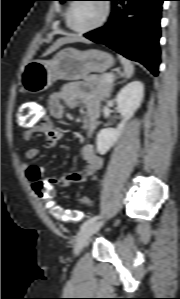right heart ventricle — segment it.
<instances>
[{
  "mask_svg": "<svg viewBox=\"0 0 180 299\" xmlns=\"http://www.w3.org/2000/svg\"><path fill=\"white\" fill-rule=\"evenodd\" d=\"M67 10H68V8L66 9L65 14H64L65 22H66Z\"/></svg>",
  "mask_w": 180,
  "mask_h": 299,
  "instance_id": "1",
  "label": "right heart ventricle"
}]
</instances>
